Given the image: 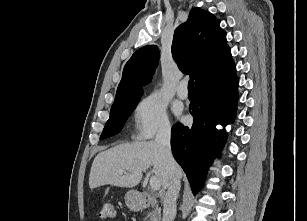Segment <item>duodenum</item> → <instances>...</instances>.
I'll return each mask as SVG.
<instances>
[{
	"label": "duodenum",
	"instance_id": "obj_1",
	"mask_svg": "<svg viewBox=\"0 0 307 221\" xmlns=\"http://www.w3.org/2000/svg\"><path fill=\"white\" fill-rule=\"evenodd\" d=\"M156 202L157 201L154 198L145 195L143 193L135 195L133 197V205L134 208L137 210L148 208L149 206L155 204Z\"/></svg>",
	"mask_w": 307,
	"mask_h": 221
}]
</instances>
